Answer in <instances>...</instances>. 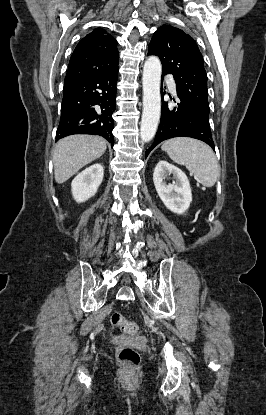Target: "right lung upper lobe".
Instances as JSON below:
<instances>
[{
	"label": "right lung upper lobe",
	"mask_w": 266,
	"mask_h": 415,
	"mask_svg": "<svg viewBox=\"0 0 266 415\" xmlns=\"http://www.w3.org/2000/svg\"><path fill=\"white\" fill-rule=\"evenodd\" d=\"M118 62L117 41L104 29L96 28L77 44L64 84L109 73Z\"/></svg>",
	"instance_id": "1"
}]
</instances>
